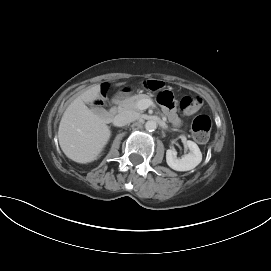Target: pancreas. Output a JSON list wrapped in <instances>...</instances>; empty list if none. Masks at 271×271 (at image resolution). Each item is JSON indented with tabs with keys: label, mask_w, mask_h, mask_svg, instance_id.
Here are the masks:
<instances>
[{
	"label": "pancreas",
	"mask_w": 271,
	"mask_h": 271,
	"mask_svg": "<svg viewBox=\"0 0 271 271\" xmlns=\"http://www.w3.org/2000/svg\"><path fill=\"white\" fill-rule=\"evenodd\" d=\"M141 100H151V98L146 94H138V95L131 96L129 98H126L125 100H123L119 104L118 110L119 111H127L128 110V111L137 112L140 110L138 108L137 104Z\"/></svg>",
	"instance_id": "1"
}]
</instances>
